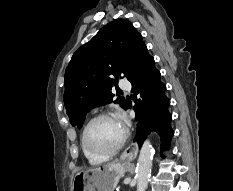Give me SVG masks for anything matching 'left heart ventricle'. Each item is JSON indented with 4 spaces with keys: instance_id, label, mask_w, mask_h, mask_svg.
<instances>
[{
    "instance_id": "obj_1",
    "label": "left heart ventricle",
    "mask_w": 233,
    "mask_h": 191,
    "mask_svg": "<svg viewBox=\"0 0 233 191\" xmlns=\"http://www.w3.org/2000/svg\"><path fill=\"white\" fill-rule=\"evenodd\" d=\"M124 135V128L118 120L101 119L89 132V144L97 151H108L116 146Z\"/></svg>"
}]
</instances>
